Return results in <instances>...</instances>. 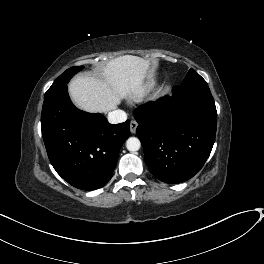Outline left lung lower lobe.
Here are the masks:
<instances>
[{
  "label": "left lung lower lobe",
  "instance_id": "obj_1",
  "mask_svg": "<svg viewBox=\"0 0 264 264\" xmlns=\"http://www.w3.org/2000/svg\"><path fill=\"white\" fill-rule=\"evenodd\" d=\"M136 133L150 172L170 184L192 178L212 150L217 112L207 82L185 83L137 109Z\"/></svg>",
  "mask_w": 264,
  "mask_h": 264
}]
</instances>
